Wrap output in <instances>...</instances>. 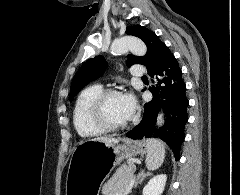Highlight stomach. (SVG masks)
Masks as SVG:
<instances>
[{
  "mask_svg": "<svg viewBox=\"0 0 240 195\" xmlns=\"http://www.w3.org/2000/svg\"><path fill=\"white\" fill-rule=\"evenodd\" d=\"M122 143H104L85 139L75 147L66 177V195H99L101 185L122 159L144 155L147 141L120 139Z\"/></svg>",
  "mask_w": 240,
  "mask_h": 195,
  "instance_id": "1",
  "label": "stomach"
}]
</instances>
